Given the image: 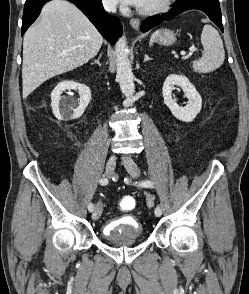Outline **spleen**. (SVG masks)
Here are the masks:
<instances>
[{
    "instance_id": "obj_1",
    "label": "spleen",
    "mask_w": 249,
    "mask_h": 294,
    "mask_svg": "<svg viewBox=\"0 0 249 294\" xmlns=\"http://www.w3.org/2000/svg\"><path fill=\"white\" fill-rule=\"evenodd\" d=\"M159 33L156 31L150 40L153 44L155 36ZM201 43L204 48L203 56L193 61V69L198 73H209L218 69L224 62L225 51L222 39L218 31L211 25H205L201 34Z\"/></svg>"
}]
</instances>
